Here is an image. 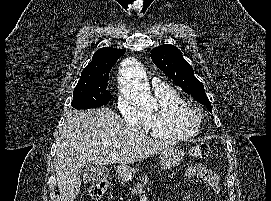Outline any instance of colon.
<instances>
[{
  "label": "colon",
  "mask_w": 271,
  "mask_h": 201,
  "mask_svg": "<svg viewBox=\"0 0 271 201\" xmlns=\"http://www.w3.org/2000/svg\"><path fill=\"white\" fill-rule=\"evenodd\" d=\"M210 154V150L207 144L200 143L196 144L191 149V155L194 158H207ZM107 181L101 180L94 183L89 189V198L93 201L100 200L107 190Z\"/></svg>",
  "instance_id": "obj_1"
}]
</instances>
